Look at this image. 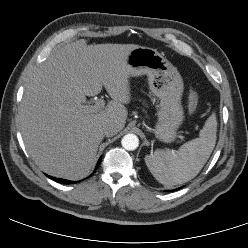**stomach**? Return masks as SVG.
I'll list each match as a JSON object with an SVG mask.
<instances>
[{
  "label": "stomach",
  "mask_w": 248,
  "mask_h": 248,
  "mask_svg": "<svg viewBox=\"0 0 248 248\" xmlns=\"http://www.w3.org/2000/svg\"><path fill=\"white\" fill-rule=\"evenodd\" d=\"M126 63L130 76L147 75L151 92L160 99L156 137L165 143L173 142L184 119L183 81L177 68L156 49L141 46L130 52Z\"/></svg>",
  "instance_id": "1"
}]
</instances>
